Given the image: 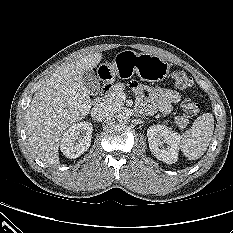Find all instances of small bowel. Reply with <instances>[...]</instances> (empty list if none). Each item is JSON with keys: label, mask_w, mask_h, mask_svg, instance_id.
Here are the masks:
<instances>
[{"label": "small bowel", "mask_w": 233, "mask_h": 233, "mask_svg": "<svg viewBox=\"0 0 233 233\" xmlns=\"http://www.w3.org/2000/svg\"><path fill=\"white\" fill-rule=\"evenodd\" d=\"M131 87L137 95L139 108L148 112L159 110L164 114H168L172 110V105L181 99V95L171 89L152 88L137 82H132ZM145 93H147V96H145Z\"/></svg>", "instance_id": "c3829d8e"}]
</instances>
